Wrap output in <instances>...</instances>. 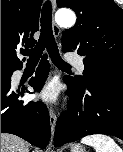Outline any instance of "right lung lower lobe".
<instances>
[{
    "mask_svg": "<svg viewBox=\"0 0 123 152\" xmlns=\"http://www.w3.org/2000/svg\"><path fill=\"white\" fill-rule=\"evenodd\" d=\"M47 65L46 56H43L35 77L30 80L35 90H40L46 80ZM12 73L8 75L7 81H1V133L17 135L44 149L51 132L48 110L43 103L20 99L28 91L25 88H11Z\"/></svg>",
    "mask_w": 123,
    "mask_h": 152,
    "instance_id": "1",
    "label": "right lung lower lobe"
}]
</instances>
